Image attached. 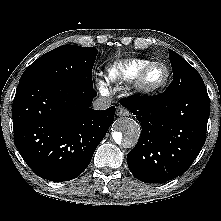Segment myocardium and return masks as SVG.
<instances>
[{"instance_id": "obj_1", "label": "myocardium", "mask_w": 221, "mask_h": 221, "mask_svg": "<svg viewBox=\"0 0 221 221\" xmlns=\"http://www.w3.org/2000/svg\"><path fill=\"white\" fill-rule=\"evenodd\" d=\"M156 66H162L165 69V77L164 79L158 84H148L146 81V77L148 73ZM171 78V71L170 68L163 62H151L146 67H144L141 72L138 74L137 78L134 82L135 91L141 95L149 96L156 94L162 91L169 83Z\"/></svg>"}]
</instances>
